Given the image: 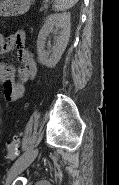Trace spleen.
<instances>
[{
	"label": "spleen",
	"instance_id": "3e777b00",
	"mask_svg": "<svg viewBox=\"0 0 119 185\" xmlns=\"http://www.w3.org/2000/svg\"><path fill=\"white\" fill-rule=\"evenodd\" d=\"M78 0H55L54 8L57 11H66L73 7Z\"/></svg>",
	"mask_w": 119,
	"mask_h": 185
}]
</instances>
